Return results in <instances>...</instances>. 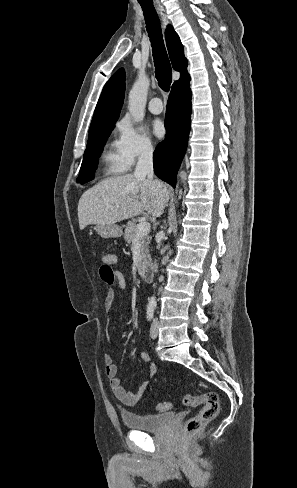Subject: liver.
I'll list each match as a JSON object with an SVG mask.
<instances>
[{"mask_svg": "<svg viewBox=\"0 0 297 488\" xmlns=\"http://www.w3.org/2000/svg\"><path fill=\"white\" fill-rule=\"evenodd\" d=\"M127 174L107 178L86 190L78 203L80 230L90 224H115L146 211L160 217L169 200L167 187Z\"/></svg>", "mask_w": 297, "mask_h": 488, "instance_id": "1", "label": "liver"}]
</instances>
